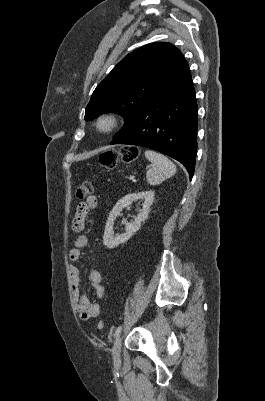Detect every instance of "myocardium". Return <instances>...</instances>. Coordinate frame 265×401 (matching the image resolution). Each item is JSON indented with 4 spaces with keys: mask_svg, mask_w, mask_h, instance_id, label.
<instances>
[{
    "mask_svg": "<svg viewBox=\"0 0 265 401\" xmlns=\"http://www.w3.org/2000/svg\"><path fill=\"white\" fill-rule=\"evenodd\" d=\"M120 119L116 113H104L95 121V130L100 135H110L119 126Z\"/></svg>",
    "mask_w": 265,
    "mask_h": 401,
    "instance_id": "obj_1",
    "label": "myocardium"
}]
</instances>
